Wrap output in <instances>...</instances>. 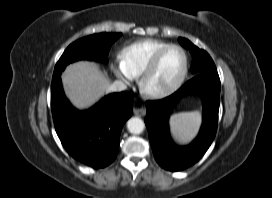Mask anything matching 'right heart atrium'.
I'll list each match as a JSON object with an SVG mask.
<instances>
[{
    "instance_id": "obj_1",
    "label": "right heart atrium",
    "mask_w": 272,
    "mask_h": 198,
    "mask_svg": "<svg viewBox=\"0 0 272 198\" xmlns=\"http://www.w3.org/2000/svg\"><path fill=\"white\" fill-rule=\"evenodd\" d=\"M114 73L126 83L134 81L135 77L128 71L120 58H116L112 64Z\"/></svg>"
}]
</instances>
